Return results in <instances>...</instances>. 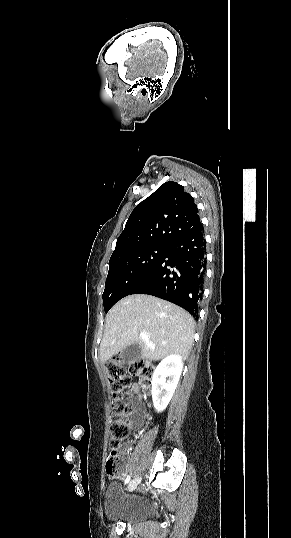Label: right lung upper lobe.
<instances>
[{
	"mask_svg": "<svg viewBox=\"0 0 291 538\" xmlns=\"http://www.w3.org/2000/svg\"><path fill=\"white\" fill-rule=\"evenodd\" d=\"M201 225L193 197L169 181L135 207L111 258L152 245L170 246Z\"/></svg>",
	"mask_w": 291,
	"mask_h": 538,
	"instance_id": "obj_1",
	"label": "right lung upper lobe"
}]
</instances>
